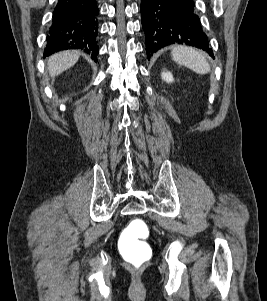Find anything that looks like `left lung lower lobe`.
I'll return each instance as SVG.
<instances>
[{"label": "left lung lower lobe", "instance_id": "0a47b994", "mask_svg": "<svg viewBox=\"0 0 267 301\" xmlns=\"http://www.w3.org/2000/svg\"><path fill=\"white\" fill-rule=\"evenodd\" d=\"M141 15L148 59L175 43L195 46L214 58L193 0H141Z\"/></svg>", "mask_w": 267, "mask_h": 301}]
</instances>
